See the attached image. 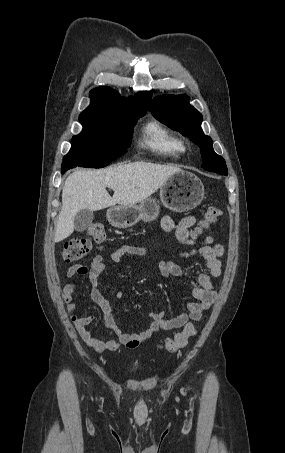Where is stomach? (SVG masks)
I'll list each match as a JSON object with an SVG mask.
<instances>
[{
  "mask_svg": "<svg viewBox=\"0 0 285 453\" xmlns=\"http://www.w3.org/2000/svg\"><path fill=\"white\" fill-rule=\"evenodd\" d=\"M204 197V186L193 173L180 171L168 178L160 187L162 204L174 211L185 212L198 206ZM159 215V205L151 198L139 205L116 206L107 211V219L117 228H128L140 220L150 222Z\"/></svg>",
  "mask_w": 285,
  "mask_h": 453,
  "instance_id": "0dacf381",
  "label": "stomach"
}]
</instances>
